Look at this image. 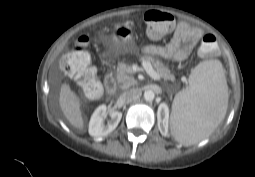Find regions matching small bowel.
<instances>
[{"mask_svg":"<svg viewBox=\"0 0 255 177\" xmlns=\"http://www.w3.org/2000/svg\"><path fill=\"white\" fill-rule=\"evenodd\" d=\"M203 31L186 23H179L171 40L166 45H148L143 52L148 56L171 59L174 62L185 60L200 43Z\"/></svg>","mask_w":255,"mask_h":177,"instance_id":"small-bowel-1","label":"small bowel"}]
</instances>
